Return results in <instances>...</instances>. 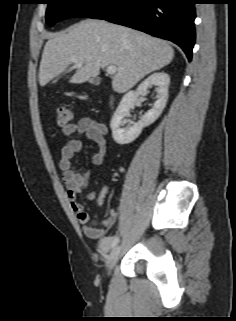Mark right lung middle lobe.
Here are the masks:
<instances>
[{
	"label": "right lung middle lobe",
	"mask_w": 236,
	"mask_h": 321,
	"mask_svg": "<svg viewBox=\"0 0 236 321\" xmlns=\"http://www.w3.org/2000/svg\"><path fill=\"white\" fill-rule=\"evenodd\" d=\"M111 0H46L48 4L46 23L53 26L56 22L70 17H88L102 9Z\"/></svg>",
	"instance_id": "dd1d6c3e"
}]
</instances>
